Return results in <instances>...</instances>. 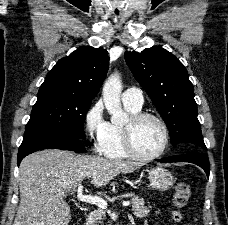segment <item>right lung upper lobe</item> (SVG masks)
I'll return each instance as SVG.
<instances>
[{"instance_id": "cb5924a9", "label": "right lung upper lobe", "mask_w": 228, "mask_h": 225, "mask_svg": "<svg viewBox=\"0 0 228 225\" xmlns=\"http://www.w3.org/2000/svg\"><path fill=\"white\" fill-rule=\"evenodd\" d=\"M108 52L102 48L79 47L60 59L40 88L56 87L94 98L108 71Z\"/></svg>"}]
</instances>
